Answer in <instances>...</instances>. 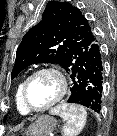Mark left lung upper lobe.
<instances>
[{"label":"left lung upper lobe","instance_id":"5c2ea615","mask_svg":"<svg viewBox=\"0 0 117 136\" xmlns=\"http://www.w3.org/2000/svg\"><path fill=\"white\" fill-rule=\"evenodd\" d=\"M95 39L94 29L77 7L51 1L42 20L23 36L11 77L36 63H56L69 73L78 56L86 53Z\"/></svg>","mask_w":117,"mask_h":136}]
</instances>
